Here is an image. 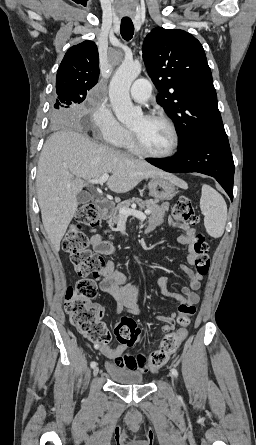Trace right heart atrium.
Wrapping results in <instances>:
<instances>
[{
  "label": "right heart atrium",
  "mask_w": 256,
  "mask_h": 445,
  "mask_svg": "<svg viewBox=\"0 0 256 445\" xmlns=\"http://www.w3.org/2000/svg\"><path fill=\"white\" fill-rule=\"evenodd\" d=\"M93 130L105 143L119 145L129 134L119 123L109 105L103 101L98 102L92 114Z\"/></svg>",
  "instance_id": "d8ad5b80"
}]
</instances>
